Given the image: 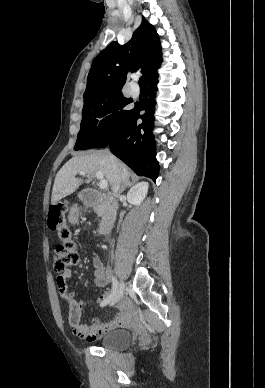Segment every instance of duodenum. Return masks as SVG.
I'll list each match as a JSON object with an SVG mask.
<instances>
[{"label":"duodenum","instance_id":"obj_1","mask_svg":"<svg viewBox=\"0 0 265 388\" xmlns=\"http://www.w3.org/2000/svg\"><path fill=\"white\" fill-rule=\"evenodd\" d=\"M81 199L87 206H99L102 208V218L99 224L101 234L108 233L115 224L118 212L117 200L109 193H103L94 189L82 192Z\"/></svg>","mask_w":265,"mask_h":388}]
</instances>
